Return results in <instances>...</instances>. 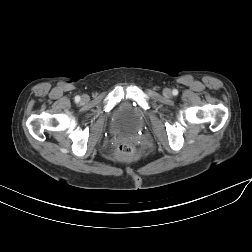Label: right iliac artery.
<instances>
[{
	"instance_id": "1",
	"label": "right iliac artery",
	"mask_w": 252,
	"mask_h": 252,
	"mask_svg": "<svg viewBox=\"0 0 252 252\" xmlns=\"http://www.w3.org/2000/svg\"><path fill=\"white\" fill-rule=\"evenodd\" d=\"M79 100H80V97H79V96H76V97H75V101L78 102Z\"/></svg>"
}]
</instances>
